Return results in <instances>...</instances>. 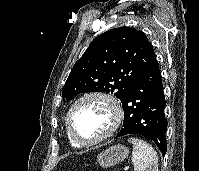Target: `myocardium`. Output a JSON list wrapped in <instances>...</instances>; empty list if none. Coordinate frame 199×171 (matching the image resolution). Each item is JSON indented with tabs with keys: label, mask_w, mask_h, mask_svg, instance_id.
Here are the masks:
<instances>
[{
	"label": "myocardium",
	"mask_w": 199,
	"mask_h": 171,
	"mask_svg": "<svg viewBox=\"0 0 199 171\" xmlns=\"http://www.w3.org/2000/svg\"><path fill=\"white\" fill-rule=\"evenodd\" d=\"M91 99L101 100L109 106L112 113V124L110 128L107 130V132L101 135L100 137H97L92 140H82L75 134L71 118L74 110L79 104ZM122 120H123V108L120 101L114 95L102 91H91L81 95L72 103L66 114L65 123H66L67 132L73 141H75L80 146H92L111 137L119 128Z\"/></svg>",
	"instance_id": "myocardium-1"
}]
</instances>
